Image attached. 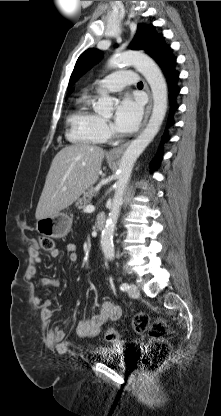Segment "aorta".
Here are the masks:
<instances>
[{
	"mask_svg": "<svg viewBox=\"0 0 221 416\" xmlns=\"http://www.w3.org/2000/svg\"><path fill=\"white\" fill-rule=\"evenodd\" d=\"M121 64L133 65L145 77L152 91L153 109L146 128L130 143L119 163L118 179L115 184L112 207L101 235V248L105 258L108 260L114 258L113 234L132 169L137 158L158 133L165 118L168 103V91L165 78L152 58L140 51H125L114 54L108 61L109 68H116ZM112 106V98L102 93L94 110L104 115L110 113Z\"/></svg>",
	"mask_w": 221,
	"mask_h": 416,
	"instance_id": "aorta-1",
	"label": "aorta"
}]
</instances>
